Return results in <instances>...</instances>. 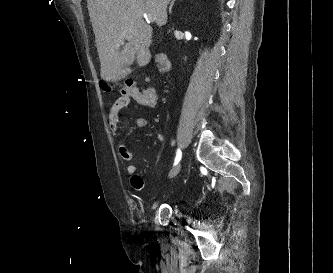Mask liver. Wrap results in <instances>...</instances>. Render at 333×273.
Here are the masks:
<instances>
[{
    "instance_id": "1",
    "label": "liver",
    "mask_w": 333,
    "mask_h": 273,
    "mask_svg": "<svg viewBox=\"0 0 333 273\" xmlns=\"http://www.w3.org/2000/svg\"><path fill=\"white\" fill-rule=\"evenodd\" d=\"M170 1L87 0L103 80L117 82L132 72L123 66L120 48L125 40L133 45L139 66L150 62L152 27L144 21V15L153 17L157 26H164Z\"/></svg>"
}]
</instances>
